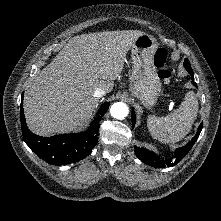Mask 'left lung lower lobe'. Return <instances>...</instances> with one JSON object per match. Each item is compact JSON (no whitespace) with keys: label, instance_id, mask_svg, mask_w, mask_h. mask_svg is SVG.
<instances>
[{"label":"left lung lower lobe","instance_id":"left-lung-lower-lobe-1","mask_svg":"<svg viewBox=\"0 0 221 221\" xmlns=\"http://www.w3.org/2000/svg\"><path fill=\"white\" fill-rule=\"evenodd\" d=\"M189 74L192 76V80H194V75L192 68L190 66L185 67ZM194 86H197L196 83H194ZM132 125L134 127L135 125V112L132 111ZM203 124H200L198 131L196 135L192 138L191 141H189L185 146L180 147L175 150L174 156L166 159L165 161L161 160L154 152H151L145 148H140L135 146V154L136 156L145 164L152 166V167H157V168H164L165 166L167 167H172L176 165L178 162H180L185 155L190 151V149L193 147L195 144L196 140L198 139V136L202 130Z\"/></svg>","mask_w":221,"mask_h":221}]
</instances>
